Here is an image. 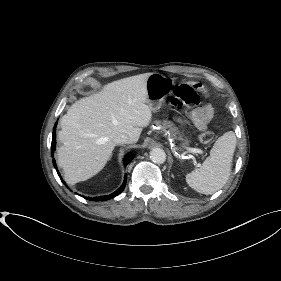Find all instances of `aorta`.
Instances as JSON below:
<instances>
[{"label":"aorta","instance_id":"obj_1","mask_svg":"<svg viewBox=\"0 0 281 281\" xmlns=\"http://www.w3.org/2000/svg\"><path fill=\"white\" fill-rule=\"evenodd\" d=\"M150 158L153 162L162 164L166 161V153L161 148H154L150 151Z\"/></svg>","mask_w":281,"mask_h":281}]
</instances>
